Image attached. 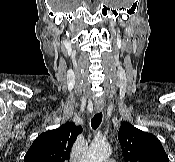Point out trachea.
Returning <instances> with one entry per match:
<instances>
[{
    "mask_svg": "<svg viewBox=\"0 0 175 162\" xmlns=\"http://www.w3.org/2000/svg\"><path fill=\"white\" fill-rule=\"evenodd\" d=\"M102 122V112L96 113L91 119V127L96 130Z\"/></svg>",
    "mask_w": 175,
    "mask_h": 162,
    "instance_id": "obj_1",
    "label": "trachea"
}]
</instances>
